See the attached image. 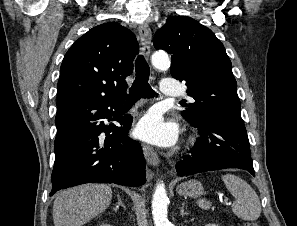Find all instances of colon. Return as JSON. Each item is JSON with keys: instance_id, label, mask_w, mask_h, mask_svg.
Here are the masks:
<instances>
[{"instance_id": "5ec220e1", "label": "colon", "mask_w": 297, "mask_h": 226, "mask_svg": "<svg viewBox=\"0 0 297 226\" xmlns=\"http://www.w3.org/2000/svg\"><path fill=\"white\" fill-rule=\"evenodd\" d=\"M244 226H259L257 222L251 221L244 224Z\"/></svg>"}]
</instances>
